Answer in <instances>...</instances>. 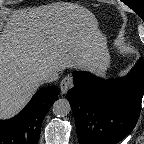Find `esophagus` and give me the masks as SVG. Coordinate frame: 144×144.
<instances>
[{
	"label": "esophagus",
	"instance_id": "1",
	"mask_svg": "<svg viewBox=\"0 0 144 144\" xmlns=\"http://www.w3.org/2000/svg\"><path fill=\"white\" fill-rule=\"evenodd\" d=\"M73 86V77L71 75L66 76L60 83L61 93L66 94Z\"/></svg>",
	"mask_w": 144,
	"mask_h": 144
}]
</instances>
